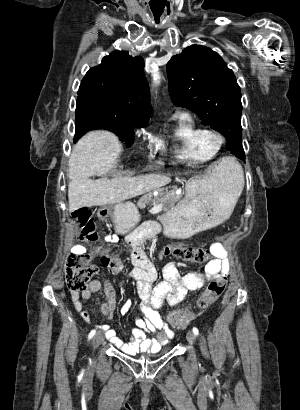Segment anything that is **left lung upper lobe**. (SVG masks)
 Listing matches in <instances>:
<instances>
[{"mask_svg":"<svg viewBox=\"0 0 300 410\" xmlns=\"http://www.w3.org/2000/svg\"><path fill=\"white\" fill-rule=\"evenodd\" d=\"M173 102L195 112L227 138V149L245 161L242 147L241 91L233 71L218 53L191 45L167 63Z\"/></svg>","mask_w":300,"mask_h":410,"instance_id":"obj_1","label":"left lung upper lobe"}]
</instances>
